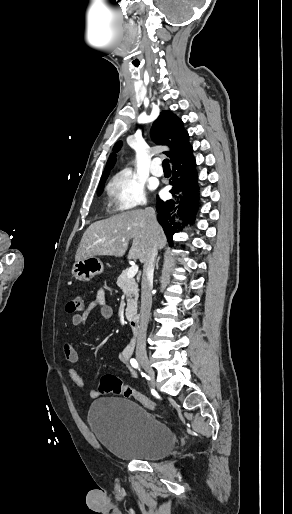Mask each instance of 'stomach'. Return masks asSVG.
I'll use <instances>...</instances> for the list:
<instances>
[{"label":"stomach","instance_id":"0dacf381","mask_svg":"<svg viewBox=\"0 0 292 514\" xmlns=\"http://www.w3.org/2000/svg\"><path fill=\"white\" fill-rule=\"evenodd\" d=\"M103 270L104 266L101 260L95 258V256H90V258L77 260V262L73 264L72 276H74L76 280H81V282H90L94 276L102 274Z\"/></svg>","mask_w":292,"mask_h":514}]
</instances>
